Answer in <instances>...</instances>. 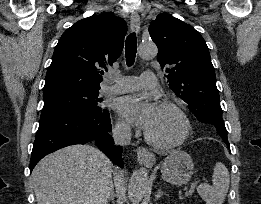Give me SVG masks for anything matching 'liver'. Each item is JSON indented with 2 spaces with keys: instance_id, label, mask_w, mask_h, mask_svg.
I'll return each mask as SVG.
<instances>
[{
  "instance_id": "obj_1",
  "label": "liver",
  "mask_w": 261,
  "mask_h": 204,
  "mask_svg": "<svg viewBox=\"0 0 261 204\" xmlns=\"http://www.w3.org/2000/svg\"><path fill=\"white\" fill-rule=\"evenodd\" d=\"M113 165L90 145H71L43 158L32 172L37 204H108Z\"/></svg>"
}]
</instances>
